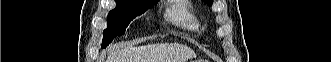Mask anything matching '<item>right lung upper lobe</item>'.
Returning a JSON list of instances; mask_svg holds the SVG:
<instances>
[{
  "instance_id": "right-lung-upper-lobe-1",
  "label": "right lung upper lobe",
  "mask_w": 331,
  "mask_h": 62,
  "mask_svg": "<svg viewBox=\"0 0 331 62\" xmlns=\"http://www.w3.org/2000/svg\"><path fill=\"white\" fill-rule=\"evenodd\" d=\"M141 1H144V2H158V0H141Z\"/></svg>"
}]
</instances>
